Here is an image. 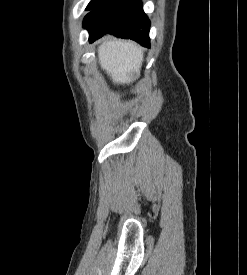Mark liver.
<instances>
[{
	"label": "liver",
	"mask_w": 247,
	"mask_h": 275,
	"mask_svg": "<svg viewBox=\"0 0 247 275\" xmlns=\"http://www.w3.org/2000/svg\"><path fill=\"white\" fill-rule=\"evenodd\" d=\"M143 58L142 48L130 41L107 40L98 48L99 64L116 84L127 83L131 74L139 76Z\"/></svg>",
	"instance_id": "obj_1"
}]
</instances>
